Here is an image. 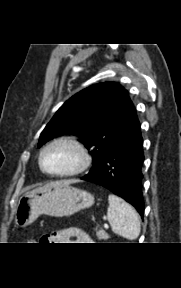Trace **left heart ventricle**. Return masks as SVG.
<instances>
[{"mask_svg":"<svg viewBox=\"0 0 181 288\" xmlns=\"http://www.w3.org/2000/svg\"><path fill=\"white\" fill-rule=\"evenodd\" d=\"M79 162L77 152L67 145L51 147L44 155L46 169L54 173H63L74 169Z\"/></svg>","mask_w":181,"mask_h":288,"instance_id":"left-heart-ventricle-1","label":"left heart ventricle"}]
</instances>
